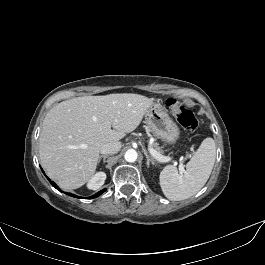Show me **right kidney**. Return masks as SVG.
<instances>
[{
    "label": "right kidney",
    "instance_id": "1",
    "mask_svg": "<svg viewBox=\"0 0 265 265\" xmlns=\"http://www.w3.org/2000/svg\"><path fill=\"white\" fill-rule=\"evenodd\" d=\"M106 174L104 172L96 173L88 182L87 187L91 190H98L104 184Z\"/></svg>",
    "mask_w": 265,
    "mask_h": 265
}]
</instances>
